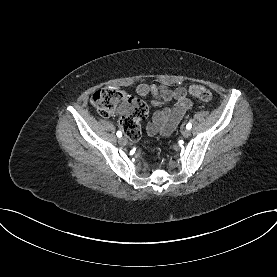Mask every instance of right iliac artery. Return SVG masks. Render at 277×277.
Returning a JSON list of instances; mask_svg holds the SVG:
<instances>
[{"label": "right iliac artery", "mask_w": 277, "mask_h": 277, "mask_svg": "<svg viewBox=\"0 0 277 277\" xmlns=\"http://www.w3.org/2000/svg\"><path fill=\"white\" fill-rule=\"evenodd\" d=\"M116 135H117L118 137H121V136H122V133H121L120 131H118V132L116 133Z\"/></svg>", "instance_id": "right-iliac-artery-1"}]
</instances>
